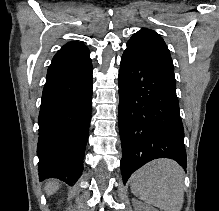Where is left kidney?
<instances>
[{"instance_id":"1","label":"left kidney","mask_w":219,"mask_h":211,"mask_svg":"<svg viewBox=\"0 0 219 211\" xmlns=\"http://www.w3.org/2000/svg\"><path fill=\"white\" fill-rule=\"evenodd\" d=\"M147 211H158L155 207H146Z\"/></svg>"}]
</instances>
